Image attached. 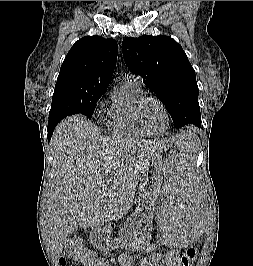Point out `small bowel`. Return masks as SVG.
Masks as SVG:
<instances>
[{"mask_svg":"<svg viewBox=\"0 0 253 266\" xmlns=\"http://www.w3.org/2000/svg\"><path fill=\"white\" fill-rule=\"evenodd\" d=\"M149 257H144L140 260V266H144V262L147 261ZM104 266H110L107 262L103 261ZM118 263L120 266H135L133 257L129 254H121L118 258Z\"/></svg>","mask_w":253,"mask_h":266,"instance_id":"c3829d8e","label":"small bowel"}]
</instances>
